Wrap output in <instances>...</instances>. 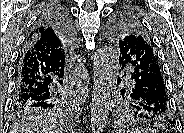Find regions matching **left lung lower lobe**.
Here are the masks:
<instances>
[{
  "label": "left lung lower lobe",
  "instance_id": "1",
  "mask_svg": "<svg viewBox=\"0 0 184 133\" xmlns=\"http://www.w3.org/2000/svg\"><path fill=\"white\" fill-rule=\"evenodd\" d=\"M144 63L137 60L131 73L134 112L138 118H168L171 106L163 76L157 68Z\"/></svg>",
  "mask_w": 184,
  "mask_h": 133
}]
</instances>
